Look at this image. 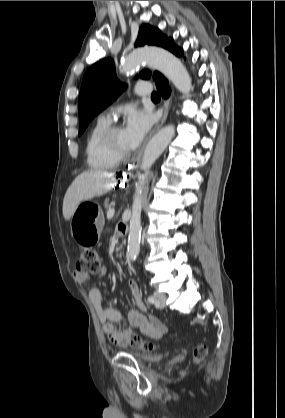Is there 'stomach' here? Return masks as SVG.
<instances>
[{"label": "stomach", "mask_w": 285, "mask_h": 418, "mask_svg": "<svg viewBox=\"0 0 285 418\" xmlns=\"http://www.w3.org/2000/svg\"><path fill=\"white\" fill-rule=\"evenodd\" d=\"M80 204L70 220V229L73 238L85 246L87 242L96 241L101 233L102 226L98 223L102 220V211L99 208L97 215L86 212Z\"/></svg>", "instance_id": "1"}]
</instances>
